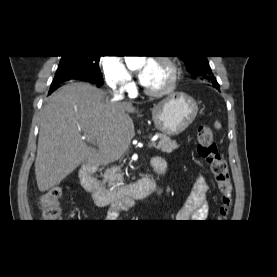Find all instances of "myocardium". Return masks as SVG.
<instances>
[{"label": "myocardium", "instance_id": "f54148a6", "mask_svg": "<svg viewBox=\"0 0 277 277\" xmlns=\"http://www.w3.org/2000/svg\"><path fill=\"white\" fill-rule=\"evenodd\" d=\"M157 62L162 63L168 68L169 71V80L168 82L161 88L152 89V88H144V92L153 97H160L172 92L177 84L179 78V70L176 63L169 57L160 56L156 59Z\"/></svg>", "mask_w": 277, "mask_h": 277}]
</instances>
